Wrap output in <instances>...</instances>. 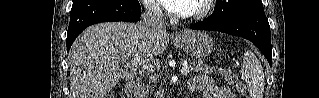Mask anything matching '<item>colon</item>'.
<instances>
[{"label":"colon","instance_id":"1","mask_svg":"<svg viewBox=\"0 0 319 98\" xmlns=\"http://www.w3.org/2000/svg\"><path fill=\"white\" fill-rule=\"evenodd\" d=\"M220 74L239 93L245 94L246 92L245 84L242 81H240L231 70L222 68L220 69Z\"/></svg>","mask_w":319,"mask_h":98}]
</instances>
